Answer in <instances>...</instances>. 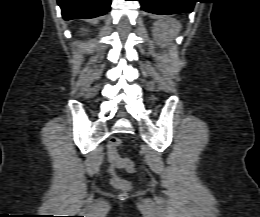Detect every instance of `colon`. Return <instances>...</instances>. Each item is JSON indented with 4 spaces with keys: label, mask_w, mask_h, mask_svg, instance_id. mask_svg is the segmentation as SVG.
<instances>
[{
    "label": "colon",
    "mask_w": 260,
    "mask_h": 217,
    "mask_svg": "<svg viewBox=\"0 0 260 217\" xmlns=\"http://www.w3.org/2000/svg\"><path fill=\"white\" fill-rule=\"evenodd\" d=\"M109 145L116 149L121 145V141L118 138H112L109 142ZM118 165L123 168L125 171L129 173L135 172V164L130 158H118L117 160ZM111 183L114 187L119 189H128L129 183L126 179L120 177V176H114L111 179Z\"/></svg>",
    "instance_id": "obj_1"
}]
</instances>
